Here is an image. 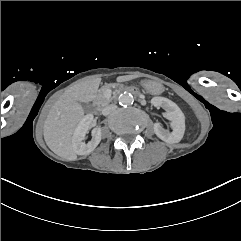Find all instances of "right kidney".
<instances>
[{"label":"right kidney","instance_id":"obj_1","mask_svg":"<svg viewBox=\"0 0 241 241\" xmlns=\"http://www.w3.org/2000/svg\"><path fill=\"white\" fill-rule=\"evenodd\" d=\"M93 115H86L78 124L74 131L73 148L78 155H87L91 153L101 141L102 130L100 127H94L91 131L92 139L89 143H85L84 137L92 128Z\"/></svg>","mask_w":241,"mask_h":241}]
</instances>
